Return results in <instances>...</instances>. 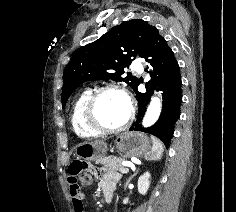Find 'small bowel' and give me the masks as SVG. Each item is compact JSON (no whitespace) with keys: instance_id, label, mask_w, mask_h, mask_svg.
<instances>
[{"instance_id":"small-bowel-1","label":"small bowel","mask_w":236,"mask_h":212,"mask_svg":"<svg viewBox=\"0 0 236 212\" xmlns=\"http://www.w3.org/2000/svg\"><path fill=\"white\" fill-rule=\"evenodd\" d=\"M118 175L116 173H109L102 176L101 187L107 191H113L116 187ZM67 184L69 186L74 212H84L82 202V189L81 179L78 175H66Z\"/></svg>"}]
</instances>
